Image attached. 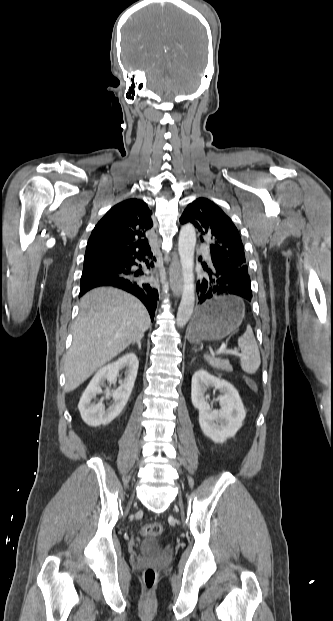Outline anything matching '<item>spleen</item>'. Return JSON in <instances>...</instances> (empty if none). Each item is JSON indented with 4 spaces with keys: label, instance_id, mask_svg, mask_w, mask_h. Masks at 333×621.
<instances>
[{
    "label": "spleen",
    "instance_id": "obj_1",
    "mask_svg": "<svg viewBox=\"0 0 333 621\" xmlns=\"http://www.w3.org/2000/svg\"><path fill=\"white\" fill-rule=\"evenodd\" d=\"M238 346L242 353L240 357L242 370L248 374H254L261 364V357L250 326H247L245 333L238 338Z\"/></svg>",
    "mask_w": 333,
    "mask_h": 621
}]
</instances>
